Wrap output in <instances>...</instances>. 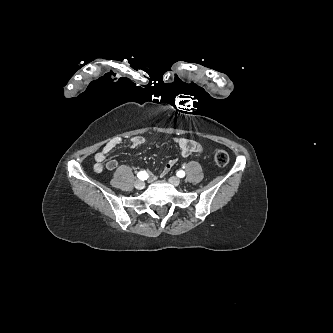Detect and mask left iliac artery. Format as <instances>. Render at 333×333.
Wrapping results in <instances>:
<instances>
[{"instance_id": "left-iliac-artery-1", "label": "left iliac artery", "mask_w": 333, "mask_h": 333, "mask_svg": "<svg viewBox=\"0 0 333 333\" xmlns=\"http://www.w3.org/2000/svg\"><path fill=\"white\" fill-rule=\"evenodd\" d=\"M177 176L180 177V178H183V177L185 176V172L182 171V170H179V171L177 172Z\"/></svg>"}]
</instances>
